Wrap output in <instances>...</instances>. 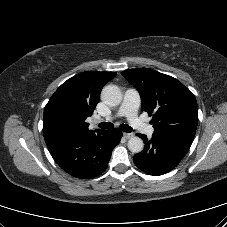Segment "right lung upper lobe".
<instances>
[{
    "label": "right lung upper lobe",
    "instance_id": "obj_1",
    "mask_svg": "<svg viewBox=\"0 0 227 227\" xmlns=\"http://www.w3.org/2000/svg\"><path fill=\"white\" fill-rule=\"evenodd\" d=\"M115 75L114 72H82L56 90L44 109L43 134L47 146L95 132L88 129L86 118L98 104L103 86Z\"/></svg>",
    "mask_w": 227,
    "mask_h": 227
}]
</instances>
